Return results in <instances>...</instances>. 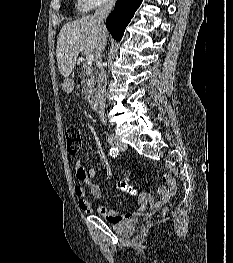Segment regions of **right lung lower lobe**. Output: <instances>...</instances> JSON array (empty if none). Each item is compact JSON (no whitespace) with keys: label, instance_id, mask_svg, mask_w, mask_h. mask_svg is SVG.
I'll return each instance as SVG.
<instances>
[{"label":"right lung lower lobe","instance_id":"obj_1","mask_svg":"<svg viewBox=\"0 0 233 263\" xmlns=\"http://www.w3.org/2000/svg\"><path fill=\"white\" fill-rule=\"evenodd\" d=\"M142 0H117L115 10L108 16L106 27L115 40H121L125 28Z\"/></svg>","mask_w":233,"mask_h":263}]
</instances>
